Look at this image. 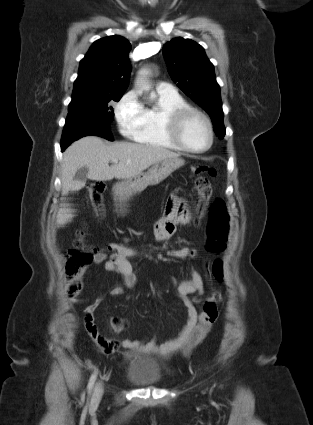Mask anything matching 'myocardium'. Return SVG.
<instances>
[{
	"label": "myocardium",
	"mask_w": 313,
	"mask_h": 425,
	"mask_svg": "<svg viewBox=\"0 0 313 425\" xmlns=\"http://www.w3.org/2000/svg\"><path fill=\"white\" fill-rule=\"evenodd\" d=\"M192 116L200 117L206 124L209 134L208 144L201 149H194L189 147L183 139V129L189 118ZM168 132L170 138L176 143L182 150L190 153H203L209 150L214 142V130L210 118L201 110L185 106L179 109L172 111L167 116Z\"/></svg>",
	"instance_id": "obj_1"
}]
</instances>
